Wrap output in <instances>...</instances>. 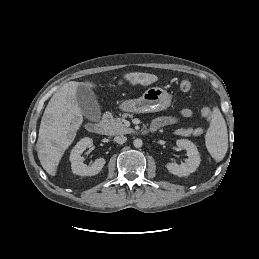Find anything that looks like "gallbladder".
Returning a JSON list of instances; mask_svg holds the SVG:
<instances>
[{
  "label": "gallbladder",
  "mask_w": 259,
  "mask_h": 259,
  "mask_svg": "<svg viewBox=\"0 0 259 259\" xmlns=\"http://www.w3.org/2000/svg\"><path fill=\"white\" fill-rule=\"evenodd\" d=\"M76 99L82 114L90 121L97 122L101 118V110L98 100L86 84H79L76 92Z\"/></svg>",
  "instance_id": "gallbladder-1"
}]
</instances>
